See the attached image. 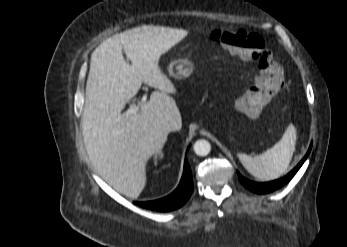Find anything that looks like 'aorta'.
Wrapping results in <instances>:
<instances>
[{
  "label": "aorta",
  "mask_w": 347,
  "mask_h": 247,
  "mask_svg": "<svg viewBox=\"0 0 347 247\" xmlns=\"http://www.w3.org/2000/svg\"><path fill=\"white\" fill-rule=\"evenodd\" d=\"M193 150L198 156H207L211 151V145L207 140L200 139L195 142Z\"/></svg>",
  "instance_id": "762f6f07"
}]
</instances>
